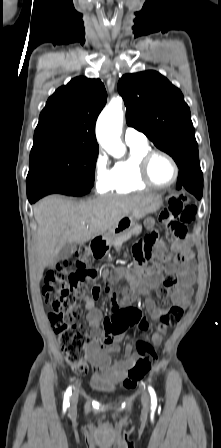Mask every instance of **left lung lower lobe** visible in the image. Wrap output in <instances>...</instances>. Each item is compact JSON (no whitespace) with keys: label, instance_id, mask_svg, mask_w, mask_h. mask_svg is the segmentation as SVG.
<instances>
[{"label":"left lung lower lobe","instance_id":"0a47b994","mask_svg":"<svg viewBox=\"0 0 221 448\" xmlns=\"http://www.w3.org/2000/svg\"><path fill=\"white\" fill-rule=\"evenodd\" d=\"M185 188L200 199L203 194V175L200 167H190L180 170L177 180V189Z\"/></svg>","mask_w":221,"mask_h":448}]
</instances>
